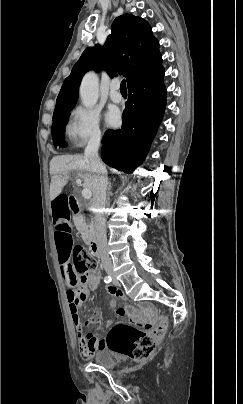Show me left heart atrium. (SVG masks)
Segmentation results:
<instances>
[{
    "label": "left heart atrium",
    "mask_w": 243,
    "mask_h": 404,
    "mask_svg": "<svg viewBox=\"0 0 243 404\" xmlns=\"http://www.w3.org/2000/svg\"><path fill=\"white\" fill-rule=\"evenodd\" d=\"M120 121V114L116 108L108 110L105 114V123L109 127H114Z\"/></svg>",
    "instance_id": "left-heart-atrium-1"
}]
</instances>
